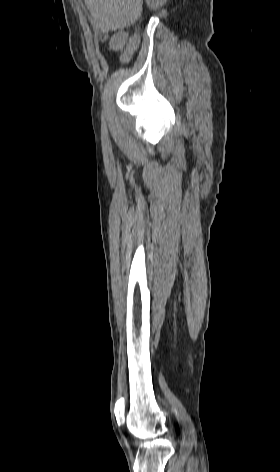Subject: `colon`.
<instances>
[{
    "mask_svg": "<svg viewBox=\"0 0 280 472\" xmlns=\"http://www.w3.org/2000/svg\"><path fill=\"white\" fill-rule=\"evenodd\" d=\"M100 40H101V41H104V40H105V37H104V36L101 37ZM126 58H127V57H124V59H126Z\"/></svg>",
    "mask_w": 280,
    "mask_h": 472,
    "instance_id": "1",
    "label": "colon"
}]
</instances>
